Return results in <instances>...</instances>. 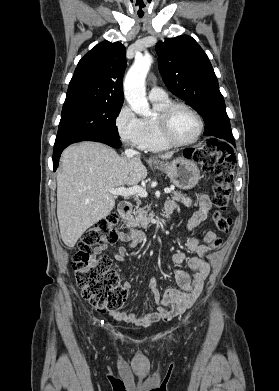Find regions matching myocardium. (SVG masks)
<instances>
[{
    "mask_svg": "<svg viewBox=\"0 0 279 391\" xmlns=\"http://www.w3.org/2000/svg\"><path fill=\"white\" fill-rule=\"evenodd\" d=\"M185 108L197 119L199 128L196 135L188 141H178L172 135L171 119L176 109ZM158 126L164 141L173 147H185L196 143L204 131V120L201 114L191 105L184 102H171L157 116Z\"/></svg>",
    "mask_w": 279,
    "mask_h": 391,
    "instance_id": "1",
    "label": "myocardium"
}]
</instances>
